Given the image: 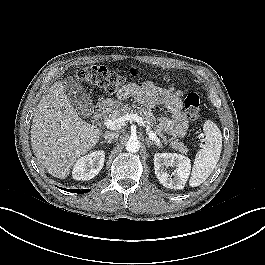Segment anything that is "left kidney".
Segmentation results:
<instances>
[{
    "mask_svg": "<svg viewBox=\"0 0 265 265\" xmlns=\"http://www.w3.org/2000/svg\"><path fill=\"white\" fill-rule=\"evenodd\" d=\"M175 167L173 176L166 172L167 167ZM154 169L159 182L166 188L183 189L190 175V159L177 153H156Z\"/></svg>",
    "mask_w": 265,
    "mask_h": 265,
    "instance_id": "obj_1",
    "label": "left kidney"
}]
</instances>
